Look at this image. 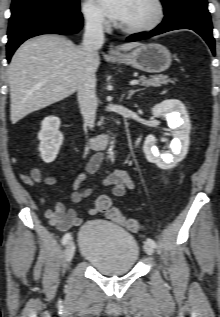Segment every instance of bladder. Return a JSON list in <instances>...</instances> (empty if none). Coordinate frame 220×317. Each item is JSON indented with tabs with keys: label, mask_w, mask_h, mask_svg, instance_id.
<instances>
[{
	"label": "bladder",
	"mask_w": 220,
	"mask_h": 317,
	"mask_svg": "<svg viewBox=\"0 0 220 317\" xmlns=\"http://www.w3.org/2000/svg\"><path fill=\"white\" fill-rule=\"evenodd\" d=\"M80 257L105 275L130 273L140 257L137 240L113 222L92 219L78 232Z\"/></svg>",
	"instance_id": "obj_1"
}]
</instances>
